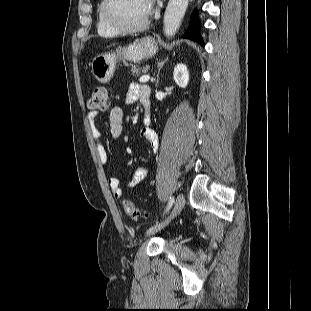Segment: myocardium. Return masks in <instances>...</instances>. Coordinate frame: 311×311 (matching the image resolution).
<instances>
[{
  "instance_id": "obj_1",
  "label": "myocardium",
  "mask_w": 311,
  "mask_h": 311,
  "mask_svg": "<svg viewBox=\"0 0 311 311\" xmlns=\"http://www.w3.org/2000/svg\"><path fill=\"white\" fill-rule=\"evenodd\" d=\"M115 2L116 0H104L103 6H102V14H103L104 20L110 27H112L118 33H123V34L139 33L148 28L151 22L150 14L143 23L137 26H126L123 23H121L115 17L113 13V5Z\"/></svg>"
}]
</instances>
